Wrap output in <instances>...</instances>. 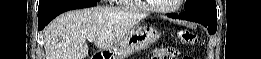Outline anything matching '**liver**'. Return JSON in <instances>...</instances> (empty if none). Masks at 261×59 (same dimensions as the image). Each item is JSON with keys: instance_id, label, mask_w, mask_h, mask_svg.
Returning a JSON list of instances; mask_svg holds the SVG:
<instances>
[{"instance_id": "6515ba94", "label": "liver", "mask_w": 261, "mask_h": 59, "mask_svg": "<svg viewBox=\"0 0 261 59\" xmlns=\"http://www.w3.org/2000/svg\"><path fill=\"white\" fill-rule=\"evenodd\" d=\"M145 16L111 7L73 10L55 18L44 30L46 59H85L87 38L99 49L118 43Z\"/></svg>"}]
</instances>
